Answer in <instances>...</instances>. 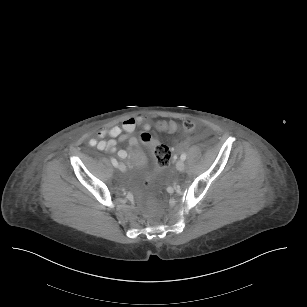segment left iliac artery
<instances>
[{"label": "left iliac artery", "mask_w": 307, "mask_h": 307, "mask_svg": "<svg viewBox=\"0 0 307 307\" xmlns=\"http://www.w3.org/2000/svg\"><path fill=\"white\" fill-rule=\"evenodd\" d=\"M186 157H187V155H186L185 153H183V154L180 156V159H181V160H185Z\"/></svg>", "instance_id": "1"}]
</instances>
